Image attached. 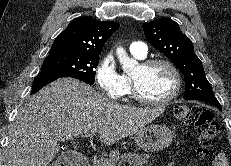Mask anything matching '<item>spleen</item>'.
Listing matches in <instances>:
<instances>
[{
    "mask_svg": "<svg viewBox=\"0 0 231 166\" xmlns=\"http://www.w3.org/2000/svg\"><path fill=\"white\" fill-rule=\"evenodd\" d=\"M213 166H229L224 153H219L213 161Z\"/></svg>",
    "mask_w": 231,
    "mask_h": 166,
    "instance_id": "3e777b00",
    "label": "spleen"
}]
</instances>
